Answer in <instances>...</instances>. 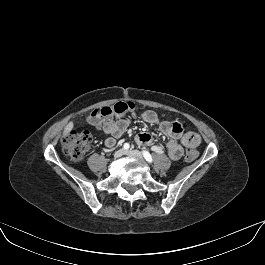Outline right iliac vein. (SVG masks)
Returning a JSON list of instances; mask_svg holds the SVG:
<instances>
[{
	"instance_id": "1",
	"label": "right iliac vein",
	"mask_w": 265,
	"mask_h": 265,
	"mask_svg": "<svg viewBox=\"0 0 265 265\" xmlns=\"http://www.w3.org/2000/svg\"><path fill=\"white\" fill-rule=\"evenodd\" d=\"M124 155V150L123 149H119L114 153V158H120L121 156Z\"/></svg>"
}]
</instances>
